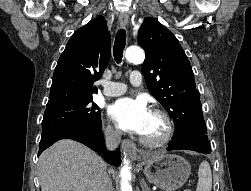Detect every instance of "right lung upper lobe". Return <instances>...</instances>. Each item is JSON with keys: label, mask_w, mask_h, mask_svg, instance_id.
<instances>
[{"label": "right lung upper lobe", "mask_w": 251, "mask_h": 191, "mask_svg": "<svg viewBox=\"0 0 251 191\" xmlns=\"http://www.w3.org/2000/svg\"><path fill=\"white\" fill-rule=\"evenodd\" d=\"M111 55L106 21L99 16L78 29L68 41L54 71L46 107L92 99Z\"/></svg>", "instance_id": "cb5924a9"}]
</instances>
